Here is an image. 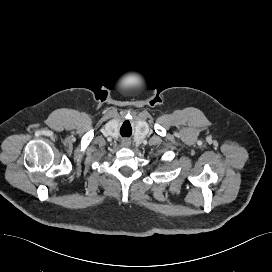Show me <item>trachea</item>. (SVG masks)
Masks as SVG:
<instances>
[{
  "label": "trachea",
  "mask_w": 272,
  "mask_h": 272,
  "mask_svg": "<svg viewBox=\"0 0 272 272\" xmlns=\"http://www.w3.org/2000/svg\"><path fill=\"white\" fill-rule=\"evenodd\" d=\"M121 135H122V136H128V137L130 136V135H123L122 133H121Z\"/></svg>",
  "instance_id": "1"
}]
</instances>
